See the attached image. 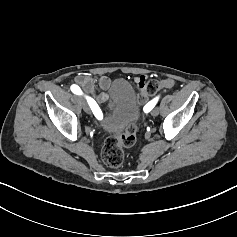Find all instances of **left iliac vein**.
<instances>
[{"mask_svg": "<svg viewBox=\"0 0 237 237\" xmlns=\"http://www.w3.org/2000/svg\"><path fill=\"white\" fill-rule=\"evenodd\" d=\"M151 114L154 115V116L158 115L159 114V108L158 107L154 108L152 110Z\"/></svg>", "mask_w": 237, "mask_h": 237, "instance_id": "obj_1", "label": "left iliac vein"}]
</instances>
